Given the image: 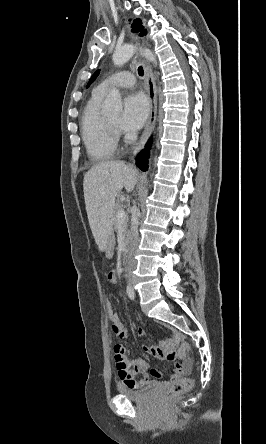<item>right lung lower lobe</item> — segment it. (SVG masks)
Here are the masks:
<instances>
[{
	"instance_id": "right-lung-lower-lobe-1",
	"label": "right lung lower lobe",
	"mask_w": 266,
	"mask_h": 444,
	"mask_svg": "<svg viewBox=\"0 0 266 444\" xmlns=\"http://www.w3.org/2000/svg\"><path fill=\"white\" fill-rule=\"evenodd\" d=\"M150 147H151V139L146 144L145 149H143L136 158V164L142 171H146L147 169Z\"/></svg>"
}]
</instances>
